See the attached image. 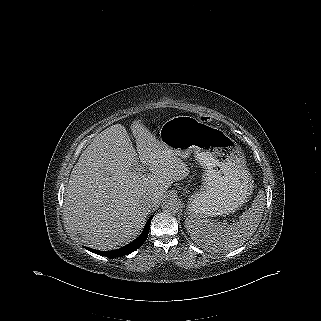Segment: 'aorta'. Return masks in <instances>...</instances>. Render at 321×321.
Instances as JSON below:
<instances>
[{
  "label": "aorta",
  "instance_id": "762f6f07",
  "mask_svg": "<svg viewBox=\"0 0 321 321\" xmlns=\"http://www.w3.org/2000/svg\"><path fill=\"white\" fill-rule=\"evenodd\" d=\"M161 206L165 212L174 214L180 210V201L174 196H167Z\"/></svg>",
  "mask_w": 321,
  "mask_h": 321
}]
</instances>
